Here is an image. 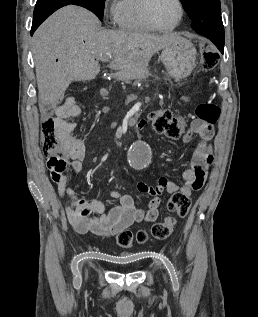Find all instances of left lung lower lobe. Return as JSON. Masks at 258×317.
Segmentation results:
<instances>
[{"mask_svg": "<svg viewBox=\"0 0 258 317\" xmlns=\"http://www.w3.org/2000/svg\"><path fill=\"white\" fill-rule=\"evenodd\" d=\"M198 34H201L210 39L220 50L224 51V29L217 27H204L194 29Z\"/></svg>", "mask_w": 258, "mask_h": 317, "instance_id": "left-lung-lower-lobe-1", "label": "left lung lower lobe"}]
</instances>
